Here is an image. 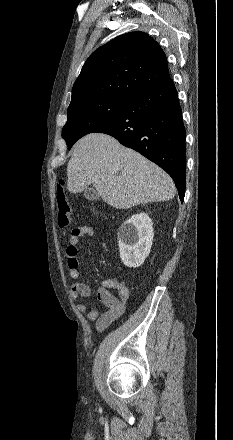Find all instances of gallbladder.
I'll list each match as a JSON object with an SVG mask.
<instances>
[{
    "label": "gallbladder",
    "instance_id": "gallbladder-1",
    "mask_svg": "<svg viewBox=\"0 0 233 440\" xmlns=\"http://www.w3.org/2000/svg\"><path fill=\"white\" fill-rule=\"evenodd\" d=\"M84 196L86 199H88L90 201L99 200V197H100L98 192L92 187H87L84 190Z\"/></svg>",
    "mask_w": 233,
    "mask_h": 440
}]
</instances>
